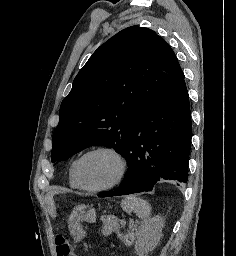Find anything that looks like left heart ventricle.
Returning <instances> with one entry per match:
<instances>
[{
  "label": "left heart ventricle",
  "instance_id": "b2bd125f",
  "mask_svg": "<svg viewBox=\"0 0 236 256\" xmlns=\"http://www.w3.org/2000/svg\"><path fill=\"white\" fill-rule=\"evenodd\" d=\"M119 172L116 157L108 152L88 155L82 163L81 173L89 187H100L113 181Z\"/></svg>",
  "mask_w": 236,
  "mask_h": 256
}]
</instances>
